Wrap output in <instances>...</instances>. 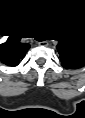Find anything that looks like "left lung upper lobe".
I'll return each instance as SVG.
<instances>
[{"instance_id":"obj_1","label":"left lung upper lobe","mask_w":85,"mask_h":118,"mask_svg":"<svg viewBox=\"0 0 85 118\" xmlns=\"http://www.w3.org/2000/svg\"><path fill=\"white\" fill-rule=\"evenodd\" d=\"M58 50H59L62 66L65 68H75L74 57L71 51L64 46H59Z\"/></svg>"}]
</instances>
